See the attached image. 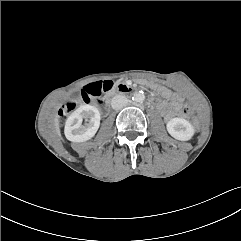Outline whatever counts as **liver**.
<instances>
[{
  "instance_id": "liver-1",
  "label": "liver",
  "mask_w": 241,
  "mask_h": 241,
  "mask_svg": "<svg viewBox=\"0 0 241 241\" xmlns=\"http://www.w3.org/2000/svg\"><path fill=\"white\" fill-rule=\"evenodd\" d=\"M56 130L59 132L58 120H55Z\"/></svg>"
}]
</instances>
